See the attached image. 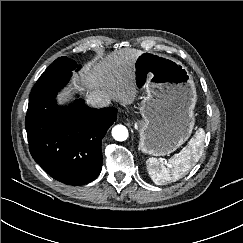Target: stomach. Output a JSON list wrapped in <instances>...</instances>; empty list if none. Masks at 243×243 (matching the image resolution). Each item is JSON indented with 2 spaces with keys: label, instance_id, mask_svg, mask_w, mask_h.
Segmentation results:
<instances>
[{
  "label": "stomach",
  "instance_id": "1",
  "mask_svg": "<svg viewBox=\"0 0 243 243\" xmlns=\"http://www.w3.org/2000/svg\"><path fill=\"white\" fill-rule=\"evenodd\" d=\"M137 85L146 89L138 121L139 149L165 156L179 148L195 124L196 88L179 61L153 52H142L134 63Z\"/></svg>",
  "mask_w": 243,
  "mask_h": 243
}]
</instances>
